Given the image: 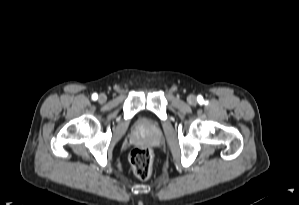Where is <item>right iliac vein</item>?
Instances as JSON below:
<instances>
[{
	"mask_svg": "<svg viewBox=\"0 0 299 205\" xmlns=\"http://www.w3.org/2000/svg\"><path fill=\"white\" fill-rule=\"evenodd\" d=\"M106 99H107V97H106L105 94H100V95H99V98H98V101H99L100 103H104V102L106 101Z\"/></svg>",
	"mask_w": 299,
	"mask_h": 205,
	"instance_id": "obj_1",
	"label": "right iliac vein"
}]
</instances>
